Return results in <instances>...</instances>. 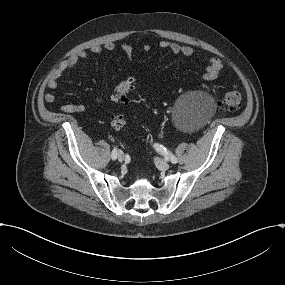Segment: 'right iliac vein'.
<instances>
[{
  "label": "right iliac vein",
  "instance_id": "1",
  "mask_svg": "<svg viewBox=\"0 0 285 285\" xmlns=\"http://www.w3.org/2000/svg\"><path fill=\"white\" fill-rule=\"evenodd\" d=\"M124 160V154L122 152H120L118 154V161L122 162Z\"/></svg>",
  "mask_w": 285,
  "mask_h": 285
}]
</instances>
